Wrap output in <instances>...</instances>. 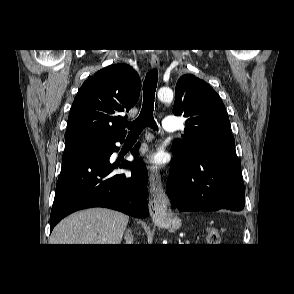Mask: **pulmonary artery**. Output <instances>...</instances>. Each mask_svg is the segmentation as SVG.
I'll list each match as a JSON object with an SVG mask.
<instances>
[{"mask_svg":"<svg viewBox=\"0 0 294 294\" xmlns=\"http://www.w3.org/2000/svg\"><path fill=\"white\" fill-rule=\"evenodd\" d=\"M163 127L166 131H175L178 129L177 117L167 116L163 119Z\"/></svg>","mask_w":294,"mask_h":294,"instance_id":"obj_1","label":"pulmonary artery"}]
</instances>
